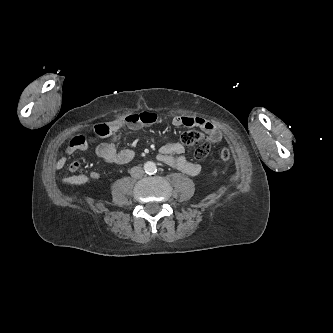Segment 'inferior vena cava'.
<instances>
[{
  "label": "inferior vena cava",
  "instance_id": "1",
  "mask_svg": "<svg viewBox=\"0 0 333 333\" xmlns=\"http://www.w3.org/2000/svg\"><path fill=\"white\" fill-rule=\"evenodd\" d=\"M130 174L133 178L139 179V178L143 177L144 170L139 166H134V167H132Z\"/></svg>",
  "mask_w": 333,
  "mask_h": 333
}]
</instances>
